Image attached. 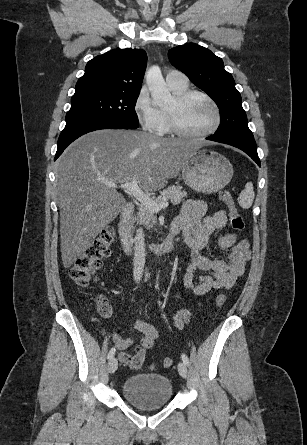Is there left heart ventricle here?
Segmentation results:
<instances>
[{
	"mask_svg": "<svg viewBox=\"0 0 307 445\" xmlns=\"http://www.w3.org/2000/svg\"><path fill=\"white\" fill-rule=\"evenodd\" d=\"M173 112L183 128L198 133L212 128L216 122V113L207 101L194 97L181 106H176L171 98L165 107Z\"/></svg>",
	"mask_w": 307,
	"mask_h": 445,
	"instance_id": "1",
	"label": "left heart ventricle"
}]
</instances>
